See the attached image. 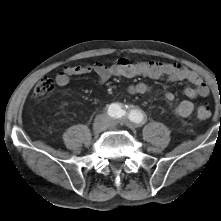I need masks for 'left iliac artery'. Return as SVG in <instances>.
<instances>
[{
  "label": "left iliac artery",
  "instance_id": "left-iliac-artery-1",
  "mask_svg": "<svg viewBox=\"0 0 221 221\" xmlns=\"http://www.w3.org/2000/svg\"><path fill=\"white\" fill-rule=\"evenodd\" d=\"M128 118L132 122H135L137 124H143L145 120V115L143 114L141 110L134 109V110H131V112L128 115Z\"/></svg>",
  "mask_w": 221,
  "mask_h": 221
}]
</instances>
